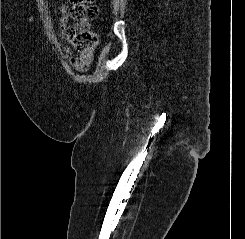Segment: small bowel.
<instances>
[{"mask_svg":"<svg viewBox=\"0 0 245 239\" xmlns=\"http://www.w3.org/2000/svg\"><path fill=\"white\" fill-rule=\"evenodd\" d=\"M59 11L61 13V16L59 18L61 33L64 35V31L67 28V24L69 21V15L67 14V8L65 5H61L59 7ZM65 57L68 59L70 65L78 71L88 70L94 60L93 54L87 56H73L66 52Z\"/></svg>","mask_w":245,"mask_h":239,"instance_id":"small-bowel-1","label":"small bowel"}]
</instances>
